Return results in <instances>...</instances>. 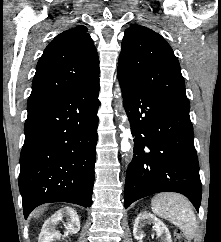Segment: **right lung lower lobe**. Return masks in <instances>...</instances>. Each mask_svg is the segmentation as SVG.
<instances>
[{"label":"right lung lower lobe","instance_id":"1","mask_svg":"<svg viewBox=\"0 0 221 242\" xmlns=\"http://www.w3.org/2000/svg\"><path fill=\"white\" fill-rule=\"evenodd\" d=\"M99 90L97 74L69 93L28 104L19 175L25 218L43 203L92 205Z\"/></svg>","mask_w":221,"mask_h":242}]
</instances>
